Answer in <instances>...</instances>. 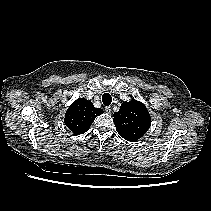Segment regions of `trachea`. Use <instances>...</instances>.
Segmentation results:
<instances>
[{"label": "trachea", "instance_id": "obj_1", "mask_svg": "<svg viewBox=\"0 0 211 211\" xmlns=\"http://www.w3.org/2000/svg\"><path fill=\"white\" fill-rule=\"evenodd\" d=\"M102 102L105 106H109L112 102V97L109 93H104L102 96Z\"/></svg>", "mask_w": 211, "mask_h": 211}]
</instances>
